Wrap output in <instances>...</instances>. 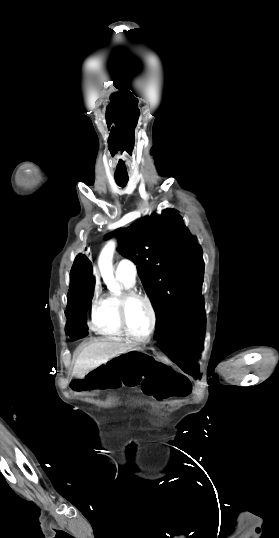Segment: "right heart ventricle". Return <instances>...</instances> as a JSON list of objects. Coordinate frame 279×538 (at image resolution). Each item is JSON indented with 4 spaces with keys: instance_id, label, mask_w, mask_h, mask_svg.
Returning <instances> with one entry per match:
<instances>
[{
    "instance_id": "e07e8e85",
    "label": "right heart ventricle",
    "mask_w": 279,
    "mask_h": 538,
    "mask_svg": "<svg viewBox=\"0 0 279 538\" xmlns=\"http://www.w3.org/2000/svg\"><path fill=\"white\" fill-rule=\"evenodd\" d=\"M120 287L118 293L110 292L95 300L92 305L91 327L106 336H125L118 319V304L123 291L130 290L134 283L116 274Z\"/></svg>"
}]
</instances>
